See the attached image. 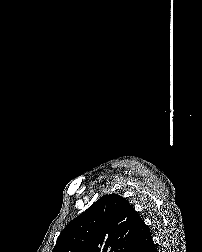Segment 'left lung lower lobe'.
<instances>
[{
	"label": "left lung lower lobe",
	"mask_w": 202,
	"mask_h": 252,
	"mask_svg": "<svg viewBox=\"0 0 202 252\" xmlns=\"http://www.w3.org/2000/svg\"><path fill=\"white\" fill-rule=\"evenodd\" d=\"M132 252H158L156 244L152 240L150 230L143 220L138 225Z\"/></svg>",
	"instance_id": "1"
}]
</instances>
